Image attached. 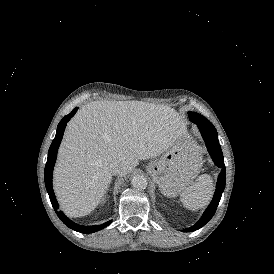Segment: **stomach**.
<instances>
[{
	"label": "stomach",
	"mask_w": 274,
	"mask_h": 274,
	"mask_svg": "<svg viewBox=\"0 0 274 274\" xmlns=\"http://www.w3.org/2000/svg\"><path fill=\"white\" fill-rule=\"evenodd\" d=\"M161 156L150 162L147 172L164 195L175 197L185 190L201 168L200 150L185 132L173 133Z\"/></svg>",
	"instance_id": "1"
}]
</instances>
